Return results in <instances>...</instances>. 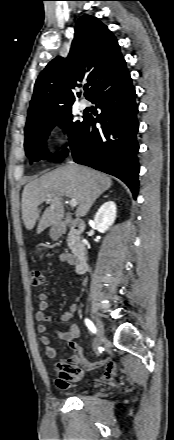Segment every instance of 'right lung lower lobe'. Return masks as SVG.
<instances>
[{
    "label": "right lung lower lobe",
    "mask_w": 174,
    "mask_h": 440,
    "mask_svg": "<svg viewBox=\"0 0 174 440\" xmlns=\"http://www.w3.org/2000/svg\"><path fill=\"white\" fill-rule=\"evenodd\" d=\"M135 89L123 61L109 73L89 97L102 110L96 118L84 117L77 138L70 145L76 163L121 179L136 198L138 193L139 145ZM101 127L97 128L96 123Z\"/></svg>",
    "instance_id": "obj_1"
}]
</instances>
